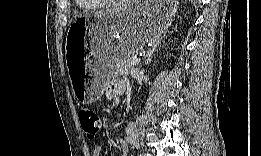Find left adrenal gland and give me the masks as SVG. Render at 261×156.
<instances>
[{"instance_id":"left-adrenal-gland-1","label":"left adrenal gland","mask_w":261,"mask_h":156,"mask_svg":"<svg viewBox=\"0 0 261 156\" xmlns=\"http://www.w3.org/2000/svg\"><path fill=\"white\" fill-rule=\"evenodd\" d=\"M164 37H165V35L162 36L161 38H158L157 41L155 42V45L152 47V49H150V50L147 52V54H146V56H145V64H146V65H148V64L151 62L153 54H154L155 51L158 49V47H159V45L161 44V42L163 41V38H164Z\"/></svg>"}]
</instances>
